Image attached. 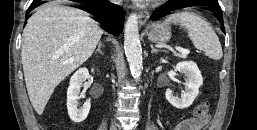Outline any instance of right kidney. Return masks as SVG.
I'll use <instances>...</instances> for the list:
<instances>
[{
    "label": "right kidney",
    "instance_id": "obj_1",
    "mask_svg": "<svg viewBox=\"0 0 257 130\" xmlns=\"http://www.w3.org/2000/svg\"><path fill=\"white\" fill-rule=\"evenodd\" d=\"M89 77V72L86 68L77 70L70 79V85L67 90V110L70 119L75 123L84 121L90 111V99L87 100L82 107L78 108L81 87Z\"/></svg>",
    "mask_w": 257,
    "mask_h": 130
}]
</instances>
